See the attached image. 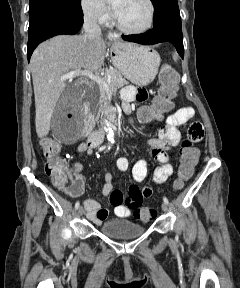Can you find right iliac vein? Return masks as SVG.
Segmentation results:
<instances>
[{"label": "right iliac vein", "mask_w": 240, "mask_h": 288, "mask_svg": "<svg viewBox=\"0 0 240 288\" xmlns=\"http://www.w3.org/2000/svg\"><path fill=\"white\" fill-rule=\"evenodd\" d=\"M83 213H84V209H83L82 206H80V207L78 208V215L81 217V216L83 215Z\"/></svg>", "instance_id": "1"}]
</instances>
